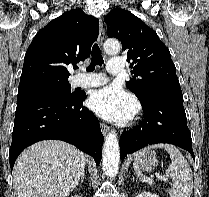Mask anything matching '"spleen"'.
<instances>
[{
	"label": "spleen",
	"mask_w": 209,
	"mask_h": 197,
	"mask_svg": "<svg viewBox=\"0 0 209 197\" xmlns=\"http://www.w3.org/2000/svg\"><path fill=\"white\" fill-rule=\"evenodd\" d=\"M164 148L170 155L171 164L166 170V176L172 179V187L167 192L170 197H190L193 191V174L182 153L171 144H154L134 154V169L142 182L153 184V180L143 175L138 167V160L150 149Z\"/></svg>",
	"instance_id": "1"
}]
</instances>
